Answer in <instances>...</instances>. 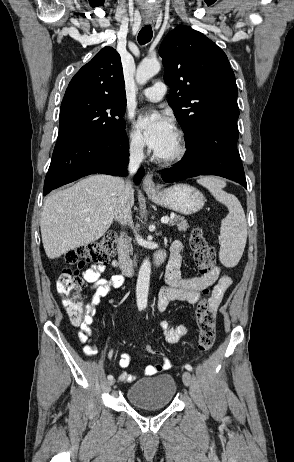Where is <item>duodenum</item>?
Here are the masks:
<instances>
[{"label": "duodenum", "instance_id": "duodenum-1", "mask_svg": "<svg viewBox=\"0 0 294 462\" xmlns=\"http://www.w3.org/2000/svg\"><path fill=\"white\" fill-rule=\"evenodd\" d=\"M117 248H118V266L121 271L127 275L131 276L133 273V264L129 256V249L126 241L125 236H121L117 240ZM165 259V251L160 249L157 250L154 255V265L159 266L164 262Z\"/></svg>", "mask_w": 294, "mask_h": 462}]
</instances>
